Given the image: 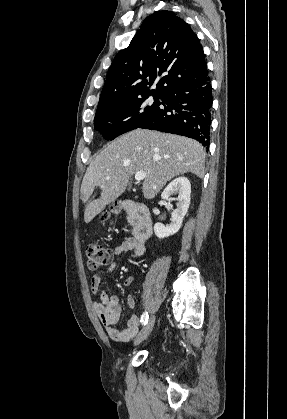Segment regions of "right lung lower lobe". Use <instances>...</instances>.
I'll return each instance as SVG.
<instances>
[{
    "mask_svg": "<svg viewBox=\"0 0 287 419\" xmlns=\"http://www.w3.org/2000/svg\"><path fill=\"white\" fill-rule=\"evenodd\" d=\"M156 111L138 128L178 134L210 144L212 87L208 72L181 83L161 96Z\"/></svg>",
    "mask_w": 287,
    "mask_h": 419,
    "instance_id": "right-lung-lower-lobe-1",
    "label": "right lung lower lobe"
}]
</instances>
